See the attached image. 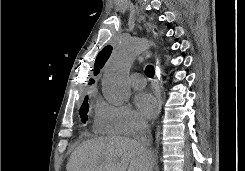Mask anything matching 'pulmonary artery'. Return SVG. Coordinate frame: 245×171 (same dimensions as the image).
<instances>
[{"label":"pulmonary artery","mask_w":245,"mask_h":171,"mask_svg":"<svg viewBox=\"0 0 245 171\" xmlns=\"http://www.w3.org/2000/svg\"><path fill=\"white\" fill-rule=\"evenodd\" d=\"M130 84L136 90H141L145 87V79L139 73H134L130 76Z\"/></svg>","instance_id":"e3ab8cb5"}]
</instances>
